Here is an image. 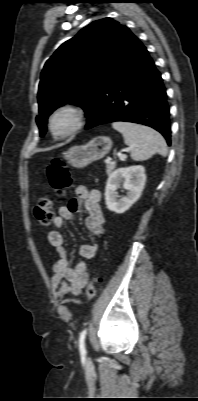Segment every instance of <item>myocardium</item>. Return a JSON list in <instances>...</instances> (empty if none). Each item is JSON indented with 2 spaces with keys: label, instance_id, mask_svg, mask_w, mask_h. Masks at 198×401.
<instances>
[{
  "label": "myocardium",
  "instance_id": "obj_1",
  "mask_svg": "<svg viewBox=\"0 0 198 401\" xmlns=\"http://www.w3.org/2000/svg\"><path fill=\"white\" fill-rule=\"evenodd\" d=\"M60 116H67L71 120V126L63 132L54 129V121ZM87 112L83 106L75 102H65L58 105L50 113L47 122L49 134L56 140H62L76 134L86 124Z\"/></svg>",
  "mask_w": 198,
  "mask_h": 401
}]
</instances>
